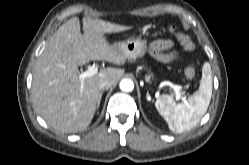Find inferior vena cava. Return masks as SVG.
I'll return each mask as SVG.
<instances>
[{
	"label": "inferior vena cava",
	"mask_w": 249,
	"mask_h": 165,
	"mask_svg": "<svg viewBox=\"0 0 249 165\" xmlns=\"http://www.w3.org/2000/svg\"><path fill=\"white\" fill-rule=\"evenodd\" d=\"M112 86V82L110 80H102L99 83L100 90H108Z\"/></svg>",
	"instance_id": "1"
}]
</instances>
